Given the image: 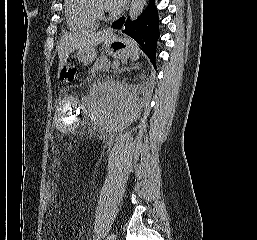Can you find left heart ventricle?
<instances>
[{"label": "left heart ventricle", "mask_w": 257, "mask_h": 240, "mask_svg": "<svg viewBox=\"0 0 257 240\" xmlns=\"http://www.w3.org/2000/svg\"><path fill=\"white\" fill-rule=\"evenodd\" d=\"M98 3L102 8L108 9L107 0H98Z\"/></svg>", "instance_id": "b2bd125f"}]
</instances>
